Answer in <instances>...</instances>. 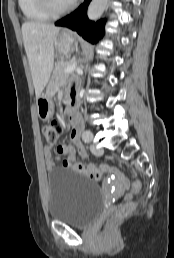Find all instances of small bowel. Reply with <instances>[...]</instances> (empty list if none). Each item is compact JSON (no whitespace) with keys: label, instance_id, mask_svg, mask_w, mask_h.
Listing matches in <instances>:
<instances>
[{"label":"small bowel","instance_id":"obj_1","mask_svg":"<svg viewBox=\"0 0 174 258\" xmlns=\"http://www.w3.org/2000/svg\"><path fill=\"white\" fill-rule=\"evenodd\" d=\"M68 94L74 95V89L70 88L68 90ZM70 122L72 126L70 138L73 141L80 157L87 161V152L79 141V133L82 129L81 117L78 114H74L70 118ZM57 152L65 156L63 159H61L63 167L82 172V175L85 176L86 179H102V176H109L110 172H112V175L121 181L122 187L126 188L130 183V180L123 179L124 175L121 174L120 171H115L114 167H90V162H81V164L76 163L75 148L70 144L59 145L57 147ZM43 153L46 161V168L48 171H52L55 168L56 161L59 159V157L53 154L51 146H45Z\"/></svg>","mask_w":174,"mask_h":258}]
</instances>
